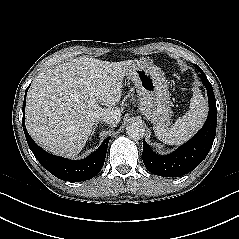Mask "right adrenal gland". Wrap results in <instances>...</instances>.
Wrapping results in <instances>:
<instances>
[{
  "label": "right adrenal gland",
  "instance_id": "right-adrenal-gland-1",
  "mask_svg": "<svg viewBox=\"0 0 239 239\" xmlns=\"http://www.w3.org/2000/svg\"><path fill=\"white\" fill-rule=\"evenodd\" d=\"M98 124H99L98 122L94 123L89 140H91L92 136L94 135L95 130H96Z\"/></svg>",
  "mask_w": 239,
  "mask_h": 239
}]
</instances>
